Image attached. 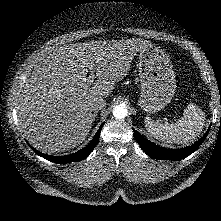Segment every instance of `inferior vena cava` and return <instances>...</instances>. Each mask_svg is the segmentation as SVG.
Masks as SVG:
<instances>
[{"mask_svg":"<svg viewBox=\"0 0 221 221\" xmlns=\"http://www.w3.org/2000/svg\"><path fill=\"white\" fill-rule=\"evenodd\" d=\"M105 106H106V101L103 98H98L92 104V110L97 111L99 109H102Z\"/></svg>","mask_w":221,"mask_h":221,"instance_id":"inferior-vena-cava-1","label":"inferior vena cava"}]
</instances>
